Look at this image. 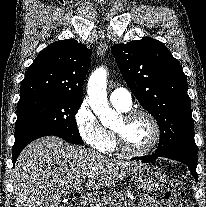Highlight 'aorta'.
<instances>
[{"label": "aorta", "mask_w": 206, "mask_h": 207, "mask_svg": "<svg viewBox=\"0 0 206 207\" xmlns=\"http://www.w3.org/2000/svg\"><path fill=\"white\" fill-rule=\"evenodd\" d=\"M106 78L107 72L104 68L94 71L88 81L87 93L91 109L100 118L103 125L109 126L118 119V113L109 106Z\"/></svg>", "instance_id": "1"}]
</instances>
